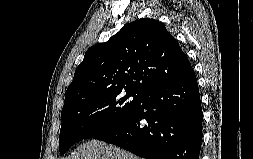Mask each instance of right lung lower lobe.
<instances>
[{"label":"right lung lower lobe","instance_id":"98d812e1","mask_svg":"<svg viewBox=\"0 0 253 159\" xmlns=\"http://www.w3.org/2000/svg\"><path fill=\"white\" fill-rule=\"evenodd\" d=\"M202 116L192 71L144 94L128 118L93 138L147 159H199Z\"/></svg>","mask_w":253,"mask_h":159}]
</instances>
